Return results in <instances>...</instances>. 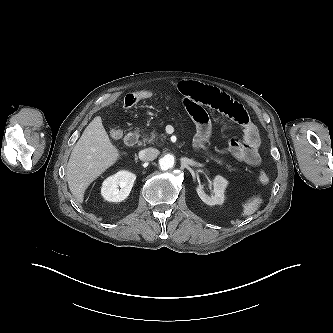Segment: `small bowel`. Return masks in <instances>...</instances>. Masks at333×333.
Listing matches in <instances>:
<instances>
[{"label":"small bowel","mask_w":333,"mask_h":333,"mask_svg":"<svg viewBox=\"0 0 333 333\" xmlns=\"http://www.w3.org/2000/svg\"><path fill=\"white\" fill-rule=\"evenodd\" d=\"M178 91L196 126L195 146H203L211 134V122L204 109L206 106L225 114L242 127L243 138H232L228 143L230 153L249 165L256 166L260 163L259 133L240 103L219 89L198 82H181L178 84Z\"/></svg>","instance_id":"1"}]
</instances>
